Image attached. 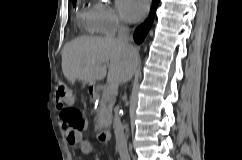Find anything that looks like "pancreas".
<instances>
[{
  "label": "pancreas",
  "instance_id": "obj_1",
  "mask_svg": "<svg viewBox=\"0 0 242 160\" xmlns=\"http://www.w3.org/2000/svg\"><path fill=\"white\" fill-rule=\"evenodd\" d=\"M94 99L99 100V107L95 110V130L109 127L112 122V108L109 99H104L99 95H95Z\"/></svg>",
  "mask_w": 242,
  "mask_h": 160
}]
</instances>
